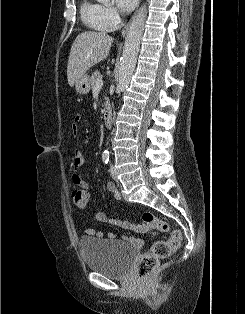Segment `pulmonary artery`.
Wrapping results in <instances>:
<instances>
[{"instance_id": "1", "label": "pulmonary artery", "mask_w": 245, "mask_h": 314, "mask_svg": "<svg viewBox=\"0 0 245 314\" xmlns=\"http://www.w3.org/2000/svg\"><path fill=\"white\" fill-rule=\"evenodd\" d=\"M109 31H112V30H108V31H105V32H109Z\"/></svg>"}]
</instances>
